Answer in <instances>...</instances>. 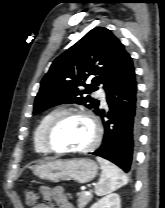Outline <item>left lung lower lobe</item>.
<instances>
[{"mask_svg":"<svg viewBox=\"0 0 165 208\" xmlns=\"http://www.w3.org/2000/svg\"><path fill=\"white\" fill-rule=\"evenodd\" d=\"M109 111L99 109L105 128L102 145L92 154L105 158L125 172L133 168L140 129V107L135 70L130 55L105 88Z\"/></svg>","mask_w":165,"mask_h":208,"instance_id":"0a47b994","label":"left lung lower lobe"}]
</instances>
